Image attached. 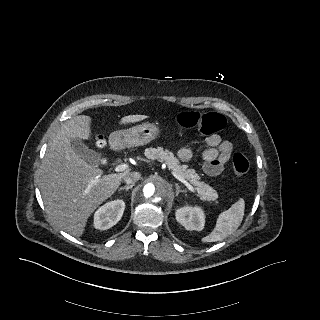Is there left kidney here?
<instances>
[{
  "instance_id": "left-kidney-1",
  "label": "left kidney",
  "mask_w": 320,
  "mask_h": 320,
  "mask_svg": "<svg viewBox=\"0 0 320 320\" xmlns=\"http://www.w3.org/2000/svg\"><path fill=\"white\" fill-rule=\"evenodd\" d=\"M176 220L187 230L201 231L204 227V212L199 207L185 206L176 211Z\"/></svg>"
}]
</instances>
